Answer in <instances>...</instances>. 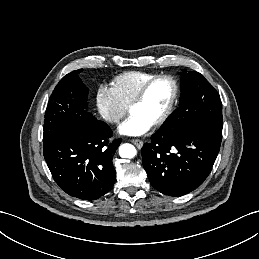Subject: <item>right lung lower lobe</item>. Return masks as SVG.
<instances>
[{"mask_svg":"<svg viewBox=\"0 0 259 259\" xmlns=\"http://www.w3.org/2000/svg\"><path fill=\"white\" fill-rule=\"evenodd\" d=\"M111 135L110 127L96 120L85 127L60 125L43 139L46 163L63 191L92 201L112 189L116 176L112 157L121 139L109 140Z\"/></svg>","mask_w":259,"mask_h":259,"instance_id":"1","label":"right lung lower lobe"}]
</instances>
